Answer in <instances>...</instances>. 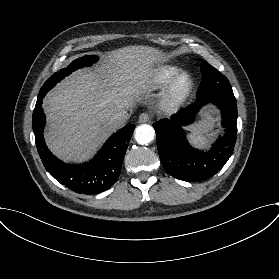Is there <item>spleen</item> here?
Returning a JSON list of instances; mask_svg holds the SVG:
<instances>
[{
  "mask_svg": "<svg viewBox=\"0 0 279 279\" xmlns=\"http://www.w3.org/2000/svg\"><path fill=\"white\" fill-rule=\"evenodd\" d=\"M203 115V120L199 124L189 127L191 134L188 138L193 146L199 149H208L210 148L209 140L202 133L207 129L213 128L215 119L209 111L204 112Z\"/></svg>",
  "mask_w": 279,
  "mask_h": 279,
  "instance_id": "3e777b00",
  "label": "spleen"
}]
</instances>
